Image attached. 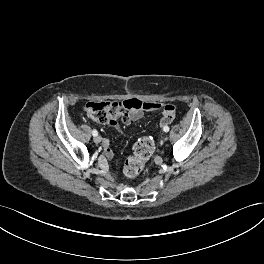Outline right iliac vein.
<instances>
[{
  "label": "right iliac vein",
  "instance_id": "right-iliac-vein-1",
  "mask_svg": "<svg viewBox=\"0 0 264 264\" xmlns=\"http://www.w3.org/2000/svg\"><path fill=\"white\" fill-rule=\"evenodd\" d=\"M101 141H102V138H101L100 136H95V137H94V142H95V143L98 144V143H100Z\"/></svg>",
  "mask_w": 264,
  "mask_h": 264
}]
</instances>
